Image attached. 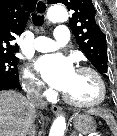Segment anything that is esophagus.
Here are the masks:
<instances>
[{
    "label": "esophagus",
    "mask_w": 117,
    "mask_h": 136,
    "mask_svg": "<svg viewBox=\"0 0 117 136\" xmlns=\"http://www.w3.org/2000/svg\"><path fill=\"white\" fill-rule=\"evenodd\" d=\"M40 11V12H39ZM36 12L41 15H45L47 12V3L45 0H38L37 5H36ZM51 110L53 113L56 115H59L62 111L61 107L57 105H53L51 107Z\"/></svg>",
    "instance_id": "obj_1"
}]
</instances>
